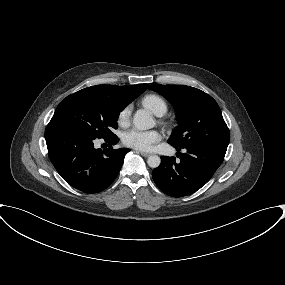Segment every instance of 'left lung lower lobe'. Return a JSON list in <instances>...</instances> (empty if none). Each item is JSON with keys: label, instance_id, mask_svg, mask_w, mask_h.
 I'll list each match as a JSON object with an SVG mask.
<instances>
[{"label": "left lung lower lobe", "instance_id": "obj_1", "mask_svg": "<svg viewBox=\"0 0 285 285\" xmlns=\"http://www.w3.org/2000/svg\"><path fill=\"white\" fill-rule=\"evenodd\" d=\"M180 151V147H175ZM180 160L161 157V164L152 172L156 185L172 197L190 195L204 186L224 160L227 148L215 145L186 146Z\"/></svg>", "mask_w": 285, "mask_h": 285}]
</instances>
